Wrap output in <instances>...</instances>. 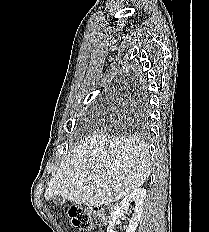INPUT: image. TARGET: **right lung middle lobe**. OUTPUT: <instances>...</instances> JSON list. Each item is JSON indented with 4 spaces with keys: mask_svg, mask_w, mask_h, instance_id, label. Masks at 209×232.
<instances>
[{
    "mask_svg": "<svg viewBox=\"0 0 209 232\" xmlns=\"http://www.w3.org/2000/svg\"><path fill=\"white\" fill-rule=\"evenodd\" d=\"M139 109L138 111V115L135 118V122L139 127L145 128L148 121H147V104L146 101H143L141 103H139V105L137 106Z\"/></svg>",
    "mask_w": 209,
    "mask_h": 232,
    "instance_id": "right-lung-middle-lobe-1",
    "label": "right lung middle lobe"
}]
</instances>
